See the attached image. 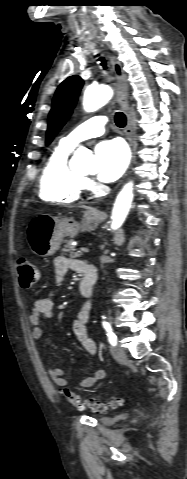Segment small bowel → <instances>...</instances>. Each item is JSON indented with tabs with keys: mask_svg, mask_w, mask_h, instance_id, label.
Masks as SVG:
<instances>
[{
	"mask_svg": "<svg viewBox=\"0 0 187 479\" xmlns=\"http://www.w3.org/2000/svg\"><path fill=\"white\" fill-rule=\"evenodd\" d=\"M55 277L57 283H61L68 271H74L85 274L88 269H94L85 262L72 259L64 256H58L53 261ZM91 304L85 302L77 312L75 319L72 322V331L76 339L80 342L84 351L89 355L96 353L97 347L95 342L87 334V323L90 317ZM54 316V300L49 296L38 298L31 309L29 315V323L31 325V339L38 342L42 338L41 323L44 319H49ZM47 372L54 383L58 387L67 385L64 377V371L54 365L47 367ZM107 377V372L103 369H98L93 372L91 376L82 379L79 383L81 388H89L95 385L98 381Z\"/></svg>",
	"mask_w": 187,
	"mask_h": 479,
	"instance_id": "1",
	"label": "small bowel"
}]
</instances>
